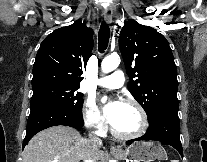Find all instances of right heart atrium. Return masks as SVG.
Segmentation results:
<instances>
[{
    "label": "right heart atrium",
    "mask_w": 207,
    "mask_h": 162,
    "mask_svg": "<svg viewBox=\"0 0 207 162\" xmlns=\"http://www.w3.org/2000/svg\"><path fill=\"white\" fill-rule=\"evenodd\" d=\"M83 120L85 125L96 133L104 131V122L94 99L88 98L83 107Z\"/></svg>",
    "instance_id": "right-heart-atrium-1"
}]
</instances>
